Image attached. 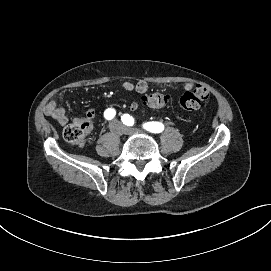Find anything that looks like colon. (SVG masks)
<instances>
[{"instance_id":"colon-1","label":"colon","mask_w":271,"mask_h":271,"mask_svg":"<svg viewBox=\"0 0 271 271\" xmlns=\"http://www.w3.org/2000/svg\"><path fill=\"white\" fill-rule=\"evenodd\" d=\"M209 98V91L201 86L196 85L192 90L186 91L180 98V106L187 111L197 110L202 101ZM169 102V96L160 93L152 92L143 97V103L149 108H162ZM90 126L85 120H74L69 123L63 131L64 139L78 147L86 146L88 142V132Z\"/></svg>"}]
</instances>
